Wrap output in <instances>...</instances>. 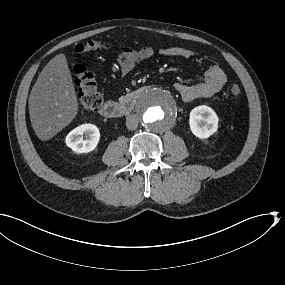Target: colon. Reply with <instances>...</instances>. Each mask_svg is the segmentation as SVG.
<instances>
[{"instance_id": "colon-1", "label": "colon", "mask_w": 285, "mask_h": 285, "mask_svg": "<svg viewBox=\"0 0 285 285\" xmlns=\"http://www.w3.org/2000/svg\"><path fill=\"white\" fill-rule=\"evenodd\" d=\"M110 49L111 45L97 40H88L75 46V52L78 54L90 52L97 49ZM73 76L79 90V101L83 110L96 111L103 103V96L98 88L95 75L83 64H76L73 67ZM232 96H239L241 88L233 84L229 88Z\"/></svg>"}]
</instances>
